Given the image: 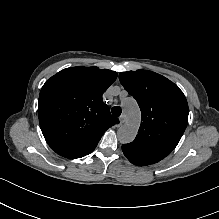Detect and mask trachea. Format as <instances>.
Here are the masks:
<instances>
[{
  "label": "trachea",
  "instance_id": "obj_1",
  "mask_svg": "<svg viewBox=\"0 0 219 219\" xmlns=\"http://www.w3.org/2000/svg\"><path fill=\"white\" fill-rule=\"evenodd\" d=\"M112 114L115 116V117H119L122 113V109L121 107L119 106H114L111 110Z\"/></svg>",
  "mask_w": 219,
  "mask_h": 219
}]
</instances>
